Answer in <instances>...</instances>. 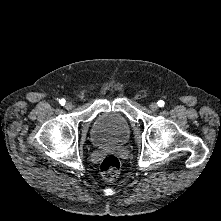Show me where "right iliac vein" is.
Listing matches in <instances>:
<instances>
[{
	"label": "right iliac vein",
	"instance_id": "63e3f726",
	"mask_svg": "<svg viewBox=\"0 0 221 221\" xmlns=\"http://www.w3.org/2000/svg\"><path fill=\"white\" fill-rule=\"evenodd\" d=\"M65 108H66L67 110H71V109L73 108L72 102H67V103L65 104Z\"/></svg>",
	"mask_w": 221,
	"mask_h": 221
}]
</instances>
